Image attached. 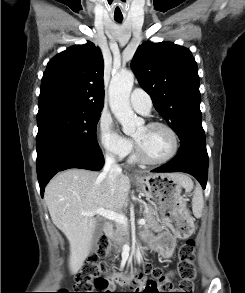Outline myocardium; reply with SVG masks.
I'll return each instance as SVG.
<instances>
[{"instance_id": "f54148a6", "label": "myocardium", "mask_w": 245, "mask_h": 293, "mask_svg": "<svg viewBox=\"0 0 245 293\" xmlns=\"http://www.w3.org/2000/svg\"><path fill=\"white\" fill-rule=\"evenodd\" d=\"M146 127L147 128H163V129H165L171 135L172 149L166 157H164L162 159L152 160V159L147 158L142 153L138 143L136 142V146H135L136 158L139 161H141L142 163L149 164V165H161V164H164V163L171 161L177 155L178 150H179V137H178V134L175 131V129H173L170 125L165 124V123H161V122H152V123H149Z\"/></svg>"}]
</instances>
